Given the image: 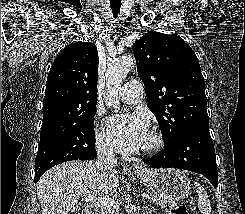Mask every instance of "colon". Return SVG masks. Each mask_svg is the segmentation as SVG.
I'll return each mask as SVG.
<instances>
[{"instance_id": "5ec220e1", "label": "colon", "mask_w": 245, "mask_h": 214, "mask_svg": "<svg viewBox=\"0 0 245 214\" xmlns=\"http://www.w3.org/2000/svg\"><path fill=\"white\" fill-rule=\"evenodd\" d=\"M170 214H188V210L185 205L179 204L170 208Z\"/></svg>"}]
</instances>
